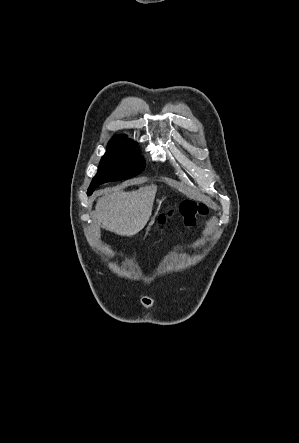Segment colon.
Returning a JSON list of instances; mask_svg holds the SVG:
<instances>
[{"label":"colon","mask_w":299,"mask_h":443,"mask_svg":"<svg viewBox=\"0 0 299 443\" xmlns=\"http://www.w3.org/2000/svg\"><path fill=\"white\" fill-rule=\"evenodd\" d=\"M208 212L206 205L192 200L183 201L177 208H173L158 217V225H165L169 220L180 216L186 226H196L197 217L205 216Z\"/></svg>","instance_id":"5ec220e1"}]
</instances>
